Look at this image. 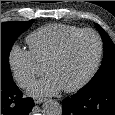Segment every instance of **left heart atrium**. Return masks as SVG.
I'll return each mask as SVG.
<instances>
[{"label": "left heart atrium", "mask_w": 115, "mask_h": 115, "mask_svg": "<svg viewBox=\"0 0 115 115\" xmlns=\"http://www.w3.org/2000/svg\"><path fill=\"white\" fill-rule=\"evenodd\" d=\"M63 89L61 83L51 74H46L37 80L30 88V94L34 96L55 95Z\"/></svg>", "instance_id": "obj_1"}]
</instances>
